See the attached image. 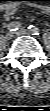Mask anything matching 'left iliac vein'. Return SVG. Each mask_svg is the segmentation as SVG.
Returning <instances> with one entry per match:
<instances>
[{"label": "left iliac vein", "instance_id": "4c4485c4", "mask_svg": "<svg viewBox=\"0 0 50 111\" xmlns=\"http://www.w3.org/2000/svg\"><path fill=\"white\" fill-rule=\"evenodd\" d=\"M16 33L18 35H28V34H30V31L25 28H22V29H19Z\"/></svg>", "mask_w": 50, "mask_h": 111}]
</instances>
